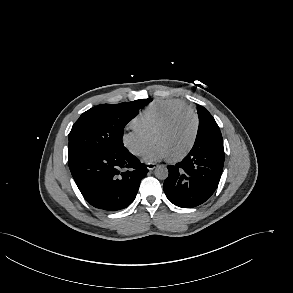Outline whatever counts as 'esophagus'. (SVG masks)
Here are the masks:
<instances>
[{
    "mask_svg": "<svg viewBox=\"0 0 293 293\" xmlns=\"http://www.w3.org/2000/svg\"><path fill=\"white\" fill-rule=\"evenodd\" d=\"M156 167H157V164H155V163H147V168L150 171L155 169Z\"/></svg>",
    "mask_w": 293,
    "mask_h": 293,
    "instance_id": "34e87169",
    "label": "esophagus"
}]
</instances>
